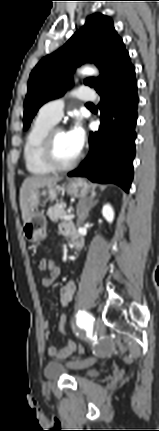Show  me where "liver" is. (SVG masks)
I'll return each mask as SVG.
<instances>
[{
    "mask_svg": "<svg viewBox=\"0 0 159 431\" xmlns=\"http://www.w3.org/2000/svg\"><path fill=\"white\" fill-rule=\"evenodd\" d=\"M60 177H47V176H31L27 177L20 188V209L22 212V219L24 223L26 222L28 216H29V197L30 194L34 190H38L39 188H43L52 184L57 183L60 181Z\"/></svg>",
    "mask_w": 159,
    "mask_h": 431,
    "instance_id": "1",
    "label": "liver"
}]
</instances>
